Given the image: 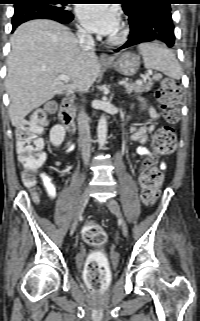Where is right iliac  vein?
I'll return each instance as SVG.
<instances>
[{
	"instance_id": "obj_1",
	"label": "right iliac vein",
	"mask_w": 200,
	"mask_h": 321,
	"mask_svg": "<svg viewBox=\"0 0 200 321\" xmlns=\"http://www.w3.org/2000/svg\"><path fill=\"white\" fill-rule=\"evenodd\" d=\"M88 200H89V189H88V187H86L84 189L83 193L81 194L80 199H79V204L77 206V210L75 212V215H74V218H73V221L71 224V228H70L71 233H73L75 231L76 226L79 221V218H80L81 214L83 213V211L88 203Z\"/></svg>"
}]
</instances>
